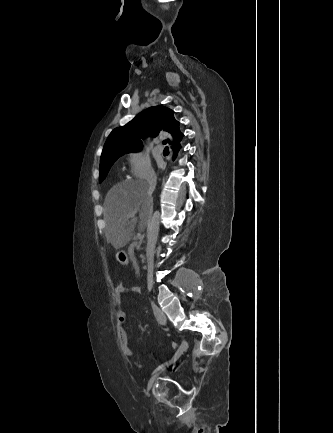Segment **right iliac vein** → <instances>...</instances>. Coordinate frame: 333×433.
Instances as JSON below:
<instances>
[{
	"instance_id": "obj_1",
	"label": "right iliac vein",
	"mask_w": 333,
	"mask_h": 433,
	"mask_svg": "<svg viewBox=\"0 0 333 433\" xmlns=\"http://www.w3.org/2000/svg\"><path fill=\"white\" fill-rule=\"evenodd\" d=\"M187 347H188V342L186 341V339H182V342H181V346L179 347V349L177 350V352L175 353V355H174V358H173V360L171 361V363H175L176 362V360L183 354V352L187 349ZM170 363V364H171ZM167 366H169V365H167ZM165 370V368H163V369H161V371H159L158 373H156L155 375H153V377L149 380V382H148V386H147V388H149V389H151L152 388V386H153V383H154V381L156 380V378L159 376V374L162 372V371H164Z\"/></svg>"
}]
</instances>
